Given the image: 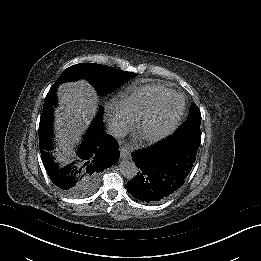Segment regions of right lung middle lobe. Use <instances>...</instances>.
<instances>
[{
	"label": "right lung middle lobe",
	"instance_id": "1",
	"mask_svg": "<svg viewBox=\"0 0 261 261\" xmlns=\"http://www.w3.org/2000/svg\"><path fill=\"white\" fill-rule=\"evenodd\" d=\"M134 75L135 73L133 72L121 71L100 64L80 63L64 70L57 79L56 84L66 80H74L79 77H83L92 83L99 93H108ZM75 160L73 159L74 165H76L77 168H80L83 164L81 162L77 163ZM70 163L64 165L69 166L73 164ZM86 180L87 178H83L78 182L77 189L72 195L81 194V189L84 188Z\"/></svg>",
	"mask_w": 261,
	"mask_h": 261
}]
</instances>
